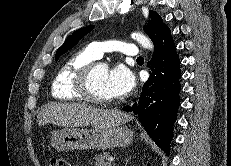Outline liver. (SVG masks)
Wrapping results in <instances>:
<instances>
[{"instance_id": "liver-1", "label": "liver", "mask_w": 231, "mask_h": 166, "mask_svg": "<svg viewBox=\"0 0 231 166\" xmlns=\"http://www.w3.org/2000/svg\"><path fill=\"white\" fill-rule=\"evenodd\" d=\"M132 116L119 110H105L84 103H53L43 108L37 115L39 126L55 124L63 127L91 125L95 129L120 126Z\"/></svg>"}]
</instances>
